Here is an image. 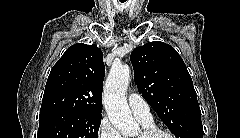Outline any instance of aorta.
Segmentation results:
<instances>
[{"label":"aorta","instance_id":"762f6f07","mask_svg":"<svg viewBox=\"0 0 240 138\" xmlns=\"http://www.w3.org/2000/svg\"><path fill=\"white\" fill-rule=\"evenodd\" d=\"M129 81V67L126 65H113L105 82L103 96L108 118L124 138L135 136L138 129L125 97Z\"/></svg>","mask_w":240,"mask_h":138}]
</instances>
